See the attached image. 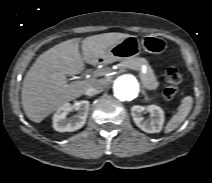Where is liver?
Masks as SVG:
<instances>
[{
    "instance_id": "liver-1",
    "label": "liver",
    "mask_w": 212,
    "mask_h": 183,
    "mask_svg": "<svg viewBox=\"0 0 212 183\" xmlns=\"http://www.w3.org/2000/svg\"><path fill=\"white\" fill-rule=\"evenodd\" d=\"M128 36L124 33L89 36L82 40L83 56L79 52V38L66 40L43 52L23 80L21 100L27 117L40 123L63 104L83 95L95 80L68 83L67 76L80 74L85 62L94 64L105 60L107 50Z\"/></svg>"
}]
</instances>
